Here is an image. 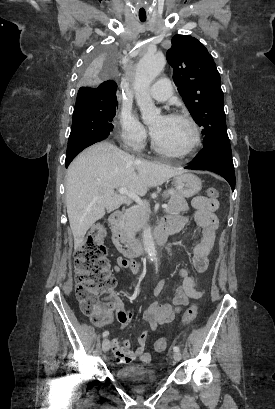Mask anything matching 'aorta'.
<instances>
[{
	"mask_svg": "<svg viewBox=\"0 0 275 409\" xmlns=\"http://www.w3.org/2000/svg\"><path fill=\"white\" fill-rule=\"evenodd\" d=\"M166 64L164 51H143L138 62L134 80L135 100L141 110L144 122H153L161 116L160 108H156L153 98L149 94V86L155 76L160 74ZM143 245L150 261H157V251L153 241L151 227L143 231Z\"/></svg>",
	"mask_w": 275,
	"mask_h": 409,
	"instance_id": "1",
	"label": "aorta"
}]
</instances>
